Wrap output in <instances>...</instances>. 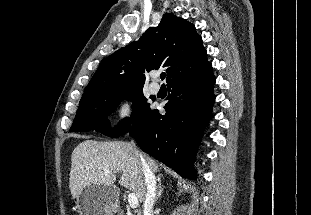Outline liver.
Here are the masks:
<instances>
[{
    "label": "liver",
    "instance_id": "liver-1",
    "mask_svg": "<svg viewBox=\"0 0 311 215\" xmlns=\"http://www.w3.org/2000/svg\"><path fill=\"white\" fill-rule=\"evenodd\" d=\"M145 159L151 170L156 172L158 164L149 156H145ZM105 169L109 172L106 173ZM117 173H121L119 184L135 194L139 202H143L146 193L144 173L131 143L89 139L79 143L71 155L69 188L72 197L78 198L90 184L112 186L119 196L114 185Z\"/></svg>",
    "mask_w": 311,
    "mask_h": 215
}]
</instances>
